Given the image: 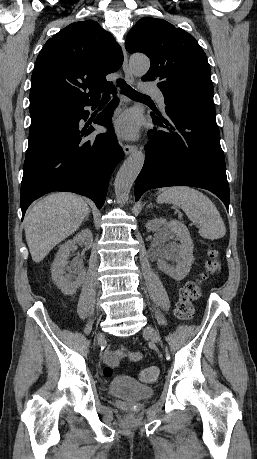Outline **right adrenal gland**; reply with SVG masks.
<instances>
[{"label":"right adrenal gland","mask_w":257,"mask_h":459,"mask_svg":"<svg viewBox=\"0 0 257 459\" xmlns=\"http://www.w3.org/2000/svg\"><path fill=\"white\" fill-rule=\"evenodd\" d=\"M88 220H89V217L87 216V217L85 218V221H88Z\"/></svg>","instance_id":"1"}]
</instances>
